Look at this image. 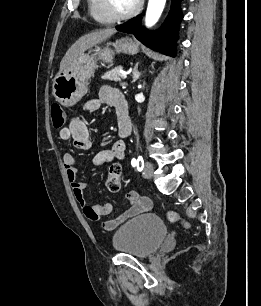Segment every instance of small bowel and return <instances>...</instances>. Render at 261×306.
<instances>
[{
  "label": "small bowel",
  "mask_w": 261,
  "mask_h": 306,
  "mask_svg": "<svg viewBox=\"0 0 261 306\" xmlns=\"http://www.w3.org/2000/svg\"><path fill=\"white\" fill-rule=\"evenodd\" d=\"M101 104H107L114 108L120 138L113 144L111 149L101 150L94 156L92 162L95 166H101L115 159L122 160L125 158V139L130 135L132 128L126 101L119 90L111 86L102 87L98 98L89 101L86 108L93 111L98 109ZM59 136L62 140H72L74 147L80 150H87L92 145L90 131L87 125L79 118H73L67 127L60 130ZM77 164L78 161L72 153L67 152L63 155V165L75 200L82 206L83 213L89 220L98 222L112 213V205L110 203L101 205L86 204L84 199L85 184L78 182L76 179ZM126 198L130 202V207L116 218L102 221L103 229L107 231L113 230L129 218L147 212L152 207V202L149 198L140 196L136 192H129Z\"/></svg>",
  "instance_id": "obj_1"
}]
</instances>
